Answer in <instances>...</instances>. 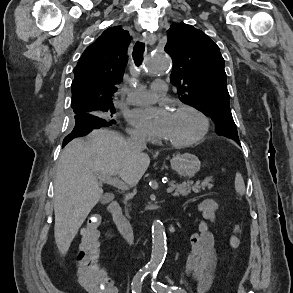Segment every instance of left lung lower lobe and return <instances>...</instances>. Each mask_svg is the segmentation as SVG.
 Returning <instances> with one entry per match:
<instances>
[{"label": "left lung lower lobe", "instance_id": "1", "mask_svg": "<svg viewBox=\"0 0 293 293\" xmlns=\"http://www.w3.org/2000/svg\"><path fill=\"white\" fill-rule=\"evenodd\" d=\"M239 145H240V142L239 141H236Z\"/></svg>", "mask_w": 293, "mask_h": 293}]
</instances>
